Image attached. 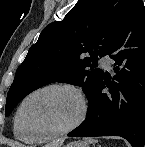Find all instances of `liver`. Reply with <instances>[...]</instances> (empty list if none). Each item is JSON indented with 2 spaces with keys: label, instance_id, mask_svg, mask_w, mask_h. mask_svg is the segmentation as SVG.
Wrapping results in <instances>:
<instances>
[{
  "label": "liver",
  "instance_id": "6515ba94",
  "mask_svg": "<svg viewBox=\"0 0 145 147\" xmlns=\"http://www.w3.org/2000/svg\"><path fill=\"white\" fill-rule=\"evenodd\" d=\"M64 142V139H59L54 142L49 143L46 147H61Z\"/></svg>",
  "mask_w": 145,
  "mask_h": 147
}]
</instances>
